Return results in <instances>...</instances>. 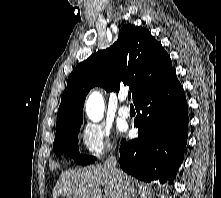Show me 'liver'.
Wrapping results in <instances>:
<instances>
[{
  "label": "liver",
  "instance_id": "obj_1",
  "mask_svg": "<svg viewBox=\"0 0 221 198\" xmlns=\"http://www.w3.org/2000/svg\"><path fill=\"white\" fill-rule=\"evenodd\" d=\"M128 179L133 184L131 178ZM60 195L66 198H124L118 180L101 165L63 172L53 191L54 198Z\"/></svg>",
  "mask_w": 221,
  "mask_h": 198
}]
</instances>
